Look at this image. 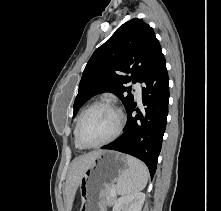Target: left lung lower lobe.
Returning a JSON list of instances; mask_svg holds the SVG:
<instances>
[{
  "instance_id": "left-lung-lower-lobe-1",
  "label": "left lung lower lobe",
  "mask_w": 221,
  "mask_h": 211,
  "mask_svg": "<svg viewBox=\"0 0 221 211\" xmlns=\"http://www.w3.org/2000/svg\"><path fill=\"white\" fill-rule=\"evenodd\" d=\"M142 110L135 111L136 103L126 109L128 120L124 133L114 142L102 147L132 155L142 160L153 178L166 128L169 102V79L166 62L160 50L152 60L141 81Z\"/></svg>"
}]
</instances>
